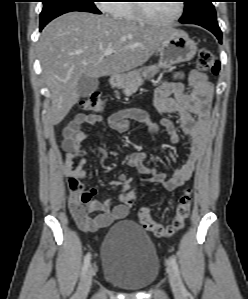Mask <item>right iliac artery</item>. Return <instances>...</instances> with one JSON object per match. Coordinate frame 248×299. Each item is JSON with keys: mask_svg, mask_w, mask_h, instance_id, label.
<instances>
[{"mask_svg": "<svg viewBox=\"0 0 248 299\" xmlns=\"http://www.w3.org/2000/svg\"><path fill=\"white\" fill-rule=\"evenodd\" d=\"M90 259H91V254L88 253V254L85 256V258H84V264H83L82 272H81V282H82V280H83V278H84V276H85V273H86V271H87V269H88V267H89V265H90ZM81 282H80V285H79V287H78V291H79V289H80ZM77 296H78V292L75 294V298H77Z\"/></svg>", "mask_w": 248, "mask_h": 299, "instance_id": "obj_1", "label": "right iliac artery"}]
</instances>
